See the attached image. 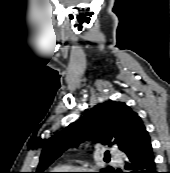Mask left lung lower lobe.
Masks as SVG:
<instances>
[{"label": "left lung lower lobe", "instance_id": "obj_1", "mask_svg": "<svg viewBox=\"0 0 170 173\" xmlns=\"http://www.w3.org/2000/svg\"><path fill=\"white\" fill-rule=\"evenodd\" d=\"M126 155L128 160L125 164V169L128 170V173H157L155 171V156L151 141L134 151L126 153ZM113 173L121 172L114 170Z\"/></svg>", "mask_w": 170, "mask_h": 173}]
</instances>
